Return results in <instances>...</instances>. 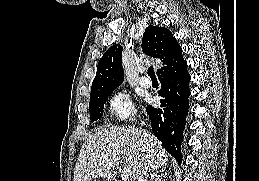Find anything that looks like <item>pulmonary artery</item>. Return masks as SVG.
Instances as JSON below:
<instances>
[{
    "label": "pulmonary artery",
    "mask_w": 259,
    "mask_h": 181,
    "mask_svg": "<svg viewBox=\"0 0 259 181\" xmlns=\"http://www.w3.org/2000/svg\"><path fill=\"white\" fill-rule=\"evenodd\" d=\"M139 84L144 87V88H149L151 87V80H149L148 78L144 77V76H141L139 78Z\"/></svg>",
    "instance_id": "1"
}]
</instances>
